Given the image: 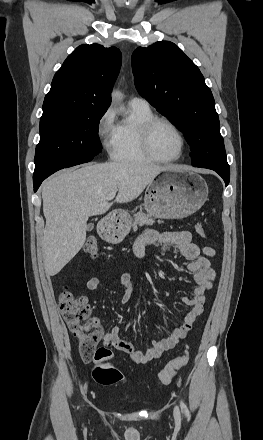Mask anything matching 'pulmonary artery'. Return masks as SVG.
<instances>
[{
	"mask_svg": "<svg viewBox=\"0 0 263 440\" xmlns=\"http://www.w3.org/2000/svg\"><path fill=\"white\" fill-rule=\"evenodd\" d=\"M129 104L132 106H138V107H149L148 101L139 96H134L129 100Z\"/></svg>",
	"mask_w": 263,
	"mask_h": 440,
	"instance_id": "e3ab8cb5",
	"label": "pulmonary artery"
}]
</instances>
